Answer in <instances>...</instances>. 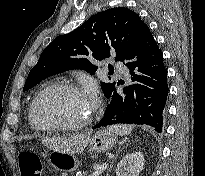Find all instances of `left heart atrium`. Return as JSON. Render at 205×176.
Returning a JSON list of instances; mask_svg holds the SVG:
<instances>
[{
	"label": "left heart atrium",
	"instance_id": "obj_1",
	"mask_svg": "<svg viewBox=\"0 0 205 176\" xmlns=\"http://www.w3.org/2000/svg\"><path fill=\"white\" fill-rule=\"evenodd\" d=\"M86 99L91 107L97 104L98 97L96 91L93 88H88L86 90Z\"/></svg>",
	"mask_w": 205,
	"mask_h": 176
}]
</instances>
